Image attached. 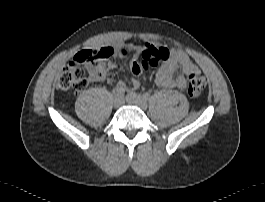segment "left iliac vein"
<instances>
[{
    "mask_svg": "<svg viewBox=\"0 0 265 202\" xmlns=\"http://www.w3.org/2000/svg\"><path fill=\"white\" fill-rule=\"evenodd\" d=\"M126 101L129 104L136 106L142 110H145L148 107L146 100L142 96H140L139 94L133 91H128L126 95Z\"/></svg>",
    "mask_w": 265,
    "mask_h": 202,
    "instance_id": "obj_1",
    "label": "left iliac vein"
}]
</instances>
